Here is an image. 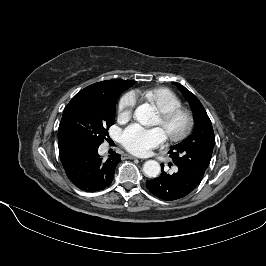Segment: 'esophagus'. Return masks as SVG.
Here are the masks:
<instances>
[{"label":"esophagus","mask_w":266,"mask_h":266,"mask_svg":"<svg viewBox=\"0 0 266 266\" xmlns=\"http://www.w3.org/2000/svg\"><path fill=\"white\" fill-rule=\"evenodd\" d=\"M123 158L125 159H138V158H136V157H134V156H132V155H123Z\"/></svg>","instance_id":"obj_1"}]
</instances>
